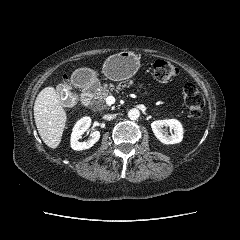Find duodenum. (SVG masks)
<instances>
[{"label": "duodenum", "instance_id": "410a0bca", "mask_svg": "<svg viewBox=\"0 0 240 240\" xmlns=\"http://www.w3.org/2000/svg\"><path fill=\"white\" fill-rule=\"evenodd\" d=\"M82 87H83V94H82L81 101L84 106H88L93 98L94 93L98 88V84L96 81L86 78L82 83Z\"/></svg>", "mask_w": 240, "mask_h": 240}]
</instances>
